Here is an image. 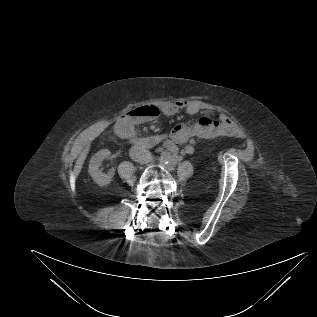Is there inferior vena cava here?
Here are the masks:
<instances>
[{
  "mask_svg": "<svg viewBox=\"0 0 317 317\" xmlns=\"http://www.w3.org/2000/svg\"><path fill=\"white\" fill-rule=\"evenodd\" d=\"M129 155L132 160L140 164H148L152 159L150 151L140 146H133L129 151Z\"/></svg>",
  "mask_w": 317,
  "mask_h": 317,
  "instance_id": "1",
  "label": "inferior vena cava"
}]
</instances>
